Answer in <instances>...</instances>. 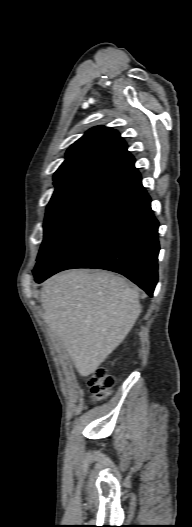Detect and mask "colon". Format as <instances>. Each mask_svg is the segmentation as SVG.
Returning a JSON list of instances; mask_svg holds the SVG:
<instances>
[{
	"label": "colon",
	"instance_id": "5ec220e1",
	"mask_svg": "<svg viewBox=\"0 0 192 527\" xmlns=\"http://www.w3.org/2000/svg\"><path fill=\"white\" fill-rule=\"evenodd\" d=\"M88 384L92 392V399L94 401H101L111 394L115 380L104 368H98L90 378Z\"/></svg>",
	"mask_w": 192,
	"mask_h": 527
}]
</instances>
